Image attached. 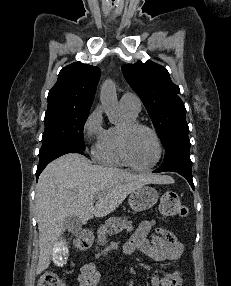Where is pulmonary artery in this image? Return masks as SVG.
<instances>
[{
    "mask_svg": "<svg viewBox=\"0 0 231 286\" xmlns=\"http://www.w3.org/2000/svg\"><path fill=\"white\" fill-rule=\"evenodd\" d=\"M120 106L124 110L138 114L141 109V101L136 94L127 92L121 96Z\"/></svg>",
    "mask_w": 231,
    "mask_h": 286,
    "instance_id": "1",
    "label": "pulmonary artery"
}]
</instances>
